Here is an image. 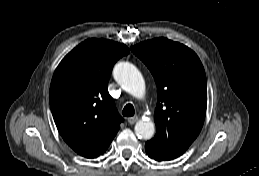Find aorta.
<instances>
[{
    "instance_id": "aorta-1",
    "label": "aorta",
    "mask_w": 259,
    "mask_h": 176,
    "mask_svg": "<svg viewBox=\"0 0 259 176\" xmlns=\"http://www.w3.org/2000/svg\"><path fill=\"white\" fill-rule=\"evenodd\" d=\"M113 76L117 83L129 94L136 98L145 95V81L136 66L129 62H119L113 69ZM155 125L151 120H139L135 125V133L138 137L149 140L153 137Z\"/></svg>"
}]
</instances>
